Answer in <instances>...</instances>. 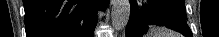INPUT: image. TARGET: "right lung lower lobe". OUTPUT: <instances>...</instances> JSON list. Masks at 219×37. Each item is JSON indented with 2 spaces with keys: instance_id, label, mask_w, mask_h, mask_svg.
I'll use <instances>...</instances> for the list:
<instances>
[{
  "instance_id": "right-lung-lower-lobe-1",
  "label": "right lung lower lobe",
  "mask_w": 219,
  "mask_h": 37,
  "mask_svg": "<svg viewBox=\"0 0 219 37\" xmlns=\"http://www.w3.org/2000/svg\"><path fill=\"white\" fill-rule=\"evenodd\" d=\"M26 37H93L109 0H24Z\"/></svg>"
}]
</instances>
